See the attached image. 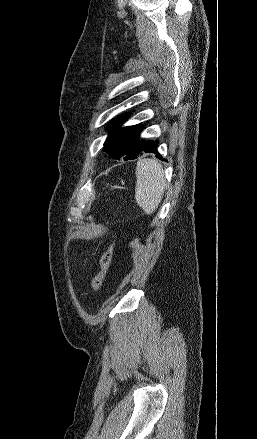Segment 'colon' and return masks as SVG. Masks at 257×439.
Instances as JSON below:
<instances>
[{
  "mask_svg": "<svg viewBox=\"0 0 257 439\" xmlns=\"http://www.w3.org/2000/svg\"><path fill=\"white\" fill-rule=\"evenodd\" d=\"M113 249H114V244L112 243L99 258L98 272L94 276L91 282V286L94 290L100 288L106 277L112 259Z\"/></svg>",
  "mask_w": 257,
  "mask_h": 439,
  "instance_id": "1",
  "label": "colon"
}]
</instances>
